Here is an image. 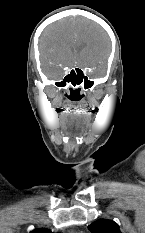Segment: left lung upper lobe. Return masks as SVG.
<instances>
[{"mask_svg": "<svg viewBox=\"0 0 145 233\" xmlns=\"http://www.w3.org/2000/svg\"><path fill=\"white\" fill-rule=\"evenodd\" d=\"M88 228L92 233H121L117 223L106 219L97 220Z\"/></svg>", "mask_w": 145, "mask_h": 233, "instance_id": "5c2ea615", "label": "left lung upper lobe"}]
</instances>
